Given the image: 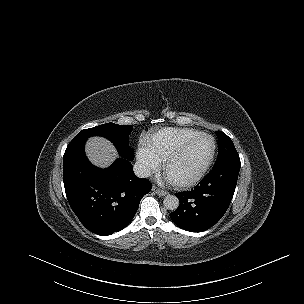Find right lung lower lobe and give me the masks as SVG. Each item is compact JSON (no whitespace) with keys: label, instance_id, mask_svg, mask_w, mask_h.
I'll return each mask as SVG.
<instances>
[{"label":"right lung lower lobe","instance_id":"1","mask_svg":"<svg viewBox=\"0 0 304 304\" xmlns=\"http://www.w3.org/2000/svg\"><path fill=\"white\" fill-rule=\"evenodd\" d=\"M86 140L74 138L67 146L63 158L65 192L84 227L106 236L129 224L152 184L136 177L130 160L123 157L109 168L95 167L85 156Z\"/></svg>","mask_w":304,"mask_h":304}]
</instances>
